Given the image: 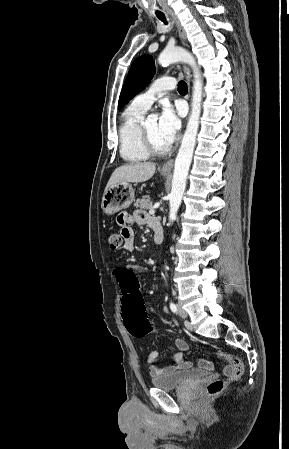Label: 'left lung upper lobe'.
<instances>
[{
    "instance_id": "left-lung-upper-lobe-1",
    "label": "left lung upper lobe",
    "mask_w": 289,
    "mask_h": 449,
    "mask_svg": "<svg viewBox=\"0 0 289 449\" xmlns=\"http://www.w3.org/2000/svg\"><path fill=\"white\" fill-rule=\"evenodd\" d=\"M155 65L150 55L138 57L132 64L119 97L118 109L141 92L153 78Z\"/></svg>"
}]
</instances>
